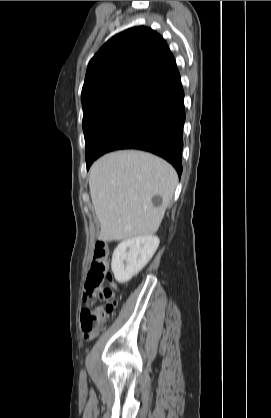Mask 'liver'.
Wrapping results in <instances>:
<instances>
[{
  "label": "liver",
  "instance_id": "obj_1",
  "mask_svg": "<svg viewBox=\"0 0 271 418\" xmlns=\"http://www.w3.org/2000/svg\"><path fill=\"white\" fill-rule=\"evenodd\" d=\"M177 181L175 169L150 153L123 150L99 158L89 175L100 222L99 240L121 241L156 233ZM155 195L162 197L159 207L152 203Z\"/></svg>",
  "mask_w": 271,
  "mask_h": 418
}]
</instances>
